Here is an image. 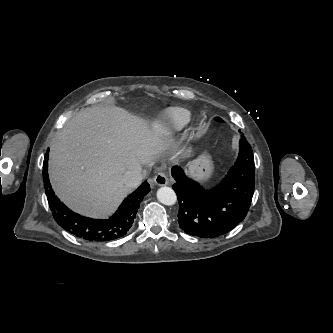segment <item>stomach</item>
<instances>
[{
  "instance_id": "1",
  "label": "stomach",
  "mask_w": 333,
  "mask_h": 333,
  "mask_svg": "<svg viewBox=\"0 0 333 333\" xmlns=\"http://www.w3.org/2000/svg\"><path fill=\"white\" fill-rule=\"evenodd\" d=\"M213 172V163L208 153H202L189 163L188 174L198 181H206Z\"/></svg>"
}]
</instances>
